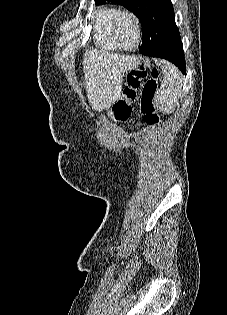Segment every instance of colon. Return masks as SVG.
Masks as SVG:
<instances>
[{
    "label": "colon",
    "instance_id": "colon-1",
    "mask_svg": "<svg viewBox=\"0 0 227 315\" xmlns=\"http://www.w3.org/2000/svg\"><path fill=\"white\" fill-rule=\"evenodd\" d=\"M158 72L155 68L148 70L144 66L130 70L126 76V84L122 96L112 108V114L117 121H124L131 111V103L140 91V109L144 115V122L148 126L159 123V115L155 107V97L158 90Z\"/></svg>",
    "mask_w": 227,
    "mask_h": 315
}]
</instances>
